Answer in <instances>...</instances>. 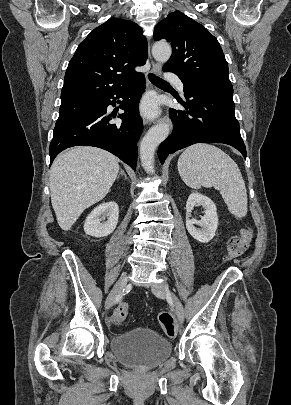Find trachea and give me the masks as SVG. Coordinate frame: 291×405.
I'll return each mask as SVG.
<instances>
[{
	"label": "trachea",
	"instance_id": "trachea-1",
	"mask_svg": "<svg viewBox=\"0 0 291 405\" xmlns=\"http://www.w3.org/2000/svg\"><path fill=\"white\" fill-rule=\"evenodd\" d=\"M149 80L157 86H169V83L164 81L163 79L159 78L158 76L150 73L149 74Z\"/></svg>",
	"mask_w": 291,
	"mask_h": 405
}]
</instances>
